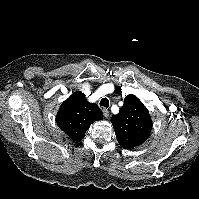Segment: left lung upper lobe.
I'll list each match as a JSON object with an SVG mask.
<instances>
[{"instance_id":"left-lung-upper-lobe-1","label":"left lung upper lobe","mask_w":199,"mask_h":199,"mask_svg":"<svg viewBox=\"0 0 199 199\" xmlns=\"http://www.w3.org/2000/svg\"><path fill=\"white\" fill-rule=\"evenodd\" d=\"M119 144L125 149L141 145L149 137L152 120L148 109L134 95H128L119 114L111 118Z\"/></svg>"}]
</instances>
